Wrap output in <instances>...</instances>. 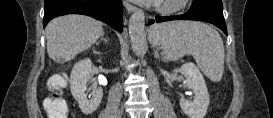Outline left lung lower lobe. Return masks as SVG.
<instances>
[{
	"label": "left lung lower lobe",
	"instance_id": "1",
	"mask_svg": "<svg viewBox=\"0 0 273 118\" xmlns=\"http://www.w3.org/2000/svg\"><path fill=\"white\" fill-rule=\"evenodd\" d=\"M183 19L198 20V21L214 24L217 27H219L227 35V28H226V23H225L223 14L214 13V12L203 10V9L191 8L188 12L182 15L156 16L155 20H151L149 24H152L153 22L160 23L165 21L183 20Z\"/></svg>",
	"mask_w": 273,
	"mask_h": 118
}]
</instances>
